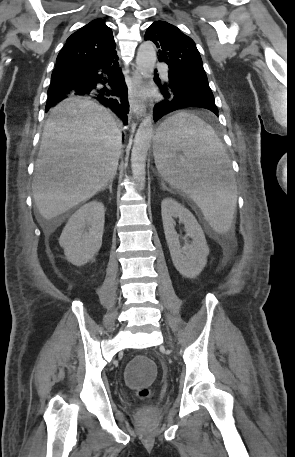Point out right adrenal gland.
I'll return each instance as SVG.
<instances>
[{
	"instance_id": "obj_1",
	"label": "right adrenal gland",
	"mask_w": 295,
	"mask_h": 457,
	"mask_svg": "<svg viewBox=\"0 0 295 457\" xmlns=\"http://www.w3.org/2000/svg\"><path fill=\"white\" fill-rule=\"evenodd\" d=\"M113 180H114V179H111V180L109 181L108 185H107L105 188H103V190H105V189L108 188L109 191H110V193H112V184H113Z\"/></svg>"
}]
</instances>
